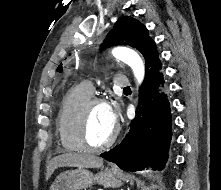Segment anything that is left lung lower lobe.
<instances>
[{"label":"left lung lower lobe","instance_id":"1","mask_svg":"<svg viewBox=\"0 0 221 190\" xmlns=\"http://www.w3.org/2000/svg\"><path fill=\"white\" fill-rule=\"evenodd\" d=\"M161 68L158 59L145 73L139 94V111L129 133L116 148L101 154L122 170L135 172L146 166L162 170L168 160L172 117Z\"/></svg>","mask_w":221,"mask_h":190}]
</instances>
